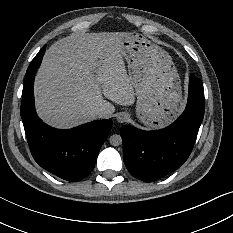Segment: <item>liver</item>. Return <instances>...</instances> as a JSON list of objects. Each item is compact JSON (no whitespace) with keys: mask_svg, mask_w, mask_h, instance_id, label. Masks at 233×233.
I'll list each match as a JSON object with an SVG mask.
<instances>
[{"mask_svg":"<svg viewBox=\"0 0 233 233\" xmlns=\"http://www.w3.org/2000/svg\"><path fill=\"white\" fill-rule=\"evenodd\" d=\"M126 32L72 33L46 50L35 76V104L47 123L68 128L93 120L91 111L135 103L121 54ZM106 98V99H105Z\"/></svg>","mask_w":233,"mask_h":233,"instance_id":"6515ba94","label":"liver"}]
</instances>
